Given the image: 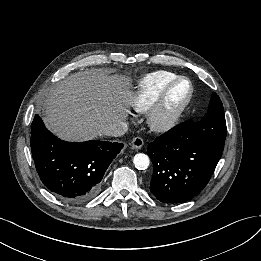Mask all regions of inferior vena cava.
<instances>
[{
  "mask_svg": "<svg viewBox=\"0 0 261 261\" xmlns=\"http://www.w3.org/2000/svg\"><path fill=\"white\" fill-rule=\"evenodd\" d=\"M128 131V125L123 121H116L101 128L100 133L106 136H122Z\"/></svg>",
  "mask_w": 261,
  "mask_h": 261,
  "instance_id": "1",
  "label": "inferior vena cava"
}]
</instances>
